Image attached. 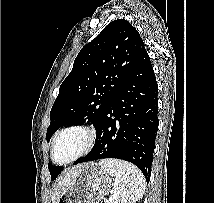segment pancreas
<instances>
[{"label": "pancreas", "mask_w": 214, "mask_h": 203, "mask_svg": "<svg viewBox=\"0 0 214 203\" xmlns=\"http://www.w3.org/2000/svg\"><path fill=\"white\" fill-rule=\"evenodd\" d=\"M105 203H115L114 200H109V201H106Z\"/></svg>", "instance_id": "obj_1"}]
</instances>
